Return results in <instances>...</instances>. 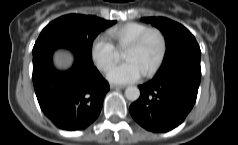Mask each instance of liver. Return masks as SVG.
Returning a JSON list of instances; mask_svg holds the SVG:
<instances>
[{"label": "liver", "instance_id": "obj_1", "mask_svg": "<svg viewBox=\"0 0 238 145\" xmlns=\"http://www.w3.org/2000/svg\"><path fill=\"white\" fill-rule=\"evenodd\" d=\"M73 57L68 51L59 50L54 55L55 66L59 69H67L71 66Z\"/></svg>", "mask_w": 238, "mask_h": 145}]
</instances>
